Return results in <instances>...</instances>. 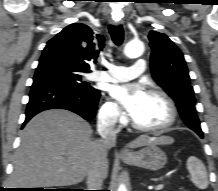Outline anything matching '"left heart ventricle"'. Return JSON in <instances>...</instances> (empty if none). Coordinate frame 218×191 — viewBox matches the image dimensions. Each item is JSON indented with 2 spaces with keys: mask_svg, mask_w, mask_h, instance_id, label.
<instances>
[{
  "mask_svg": "<svg viewBox=\"0 0 218 191\" xmlns=\"http://www.w3.org/2000/svg\"><path fill=\"white\" fill-rule=\"evenodd\" d=\"M169 117L170 112L166 102L158 96L148 94L133 119L144 127H158L165 124Z\"/></svg>",
  "mask_w": 218,
  "mask_h": 191,
  "instance_id": "1",
  "label": "left heart ventricle"
}]
</instances>
